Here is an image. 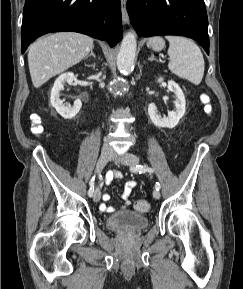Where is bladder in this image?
<instances>
[{"label":"bladder","instance_id":"1","mask_svg":"<svg viewBox=\"0 0 243 289\" xmlns=\"http://www.w3.org/2000/svg\"><path fill=\"white\" fill-rule=\"evenodd\" d=\"M147 216L134 211H119L111 214L106 219L108 229L118 232H136L147 228Z\"/></svg>","mask_w":243,"mask_h":289}]
</instances>
